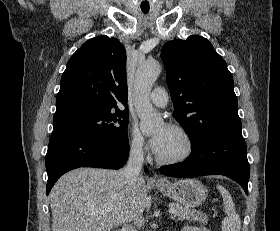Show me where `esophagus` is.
<instances>
[{
    "label": "esophagus",
    "instance_id": "1",
    "mask_svg": "<svg viewBox=\"0 0 280 231\" xmlns=\"http://www.w3.org/2000/svg\"><path fill=\"white\" fill-rule=\"evenodd\" d=\"M162 180H164V178L161 176H158L157 174H155L152 178V181H162Z\"/></svg>",
    "mask_w": 280,
    "mask_h": 231
}]
</instances>
